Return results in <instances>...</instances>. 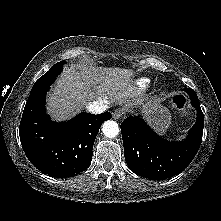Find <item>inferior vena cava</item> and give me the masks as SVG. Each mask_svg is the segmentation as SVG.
<instances>
[{
    "mask_svg": "<svg viewBox=\"0 0 221 221\" xmlns=\"http://www.w3.org/2000/svg\"><path fill=\"white\" fill-rule=\"evenodd\" d=\"M109 103L107 101H93L86 105L87 110L93 114H100L107 110Z\"/></svg>",
    "mask_w": 221,
    "mask_h": 221,
    "instance_id": "602c4592",
    "label": "inferior vena cava"
}]
</instances>
